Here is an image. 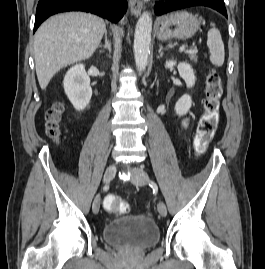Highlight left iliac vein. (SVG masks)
I'll use <instances>...</instances> for the list:
<instances>
[{
    "label": "left iliac vein",
    "mask_w": 265,
    "mask_h": 269,
    "mask_svg": "<svg viewBox=\"0 0 265 269\" xmlns=\"http://www.w3.org/2000/svg\"><path fill=\"white\" fill-rule=\"evenodd\" d=\"M132 177H131V182L134 185L138 186H143L146 184L148 180V175L147 173L141 169V168H132L131 169ZM158 212L162 217H165L167 215V208L166 205L163 201H160L158 203Z\"/></svg>",
    "instance_id": "obj_1"
}]
</instances>
